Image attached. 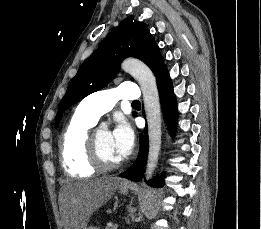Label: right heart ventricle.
<instances>
[{
    "label": "right heart ventricle",
    "instance_id": "1",
    "mask_svg": "<svg viewBox=\"0 0 261 229\" xmlns=\"http://www.w3.org/2000/svg\"><path fill=\"white\" fill-rule=\"evenodd\" d=\"M96 124L85 116L77 105L59 140L58 148L62 167L75 176H91L97 167L91 158L90 130Z\"/></svg>",
    "mask_w": 261,
    "mask_h": 229
}]
</instances>
